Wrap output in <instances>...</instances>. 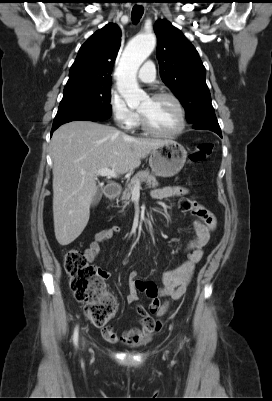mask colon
<instances>
[{"instance_id":"obj_1","label":"colon","mask_w":272,"mask_h":401,"mask_svg":"<svg viewBox=\"0 0 272 401\" xmlns=\"http://www.w3.org/2000/svg\"><path fill=\"white\" fill-rule=\"evenodd\" d=\"M213 149L212 143L198 144L191 153L190 160L201 162L211 155ZM64 268L70 277V287L75 299L85 304L86 317L95 326L102 327L104 336H107L111 330L107 324L116 310V303L104 288L102 273L88 263L85 254L79 249H70L66 253ZM152 311L154 309L149 308V312ZM149 312L143 307L137 308V313L147 320H150Z\"/></svg>"}]
</instances>
